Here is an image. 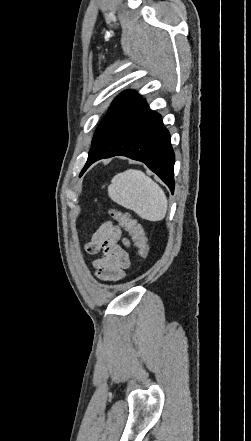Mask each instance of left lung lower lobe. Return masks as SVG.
<instances>
[{
	"mask_svg": "<svg viewBox=\"0 0 251 441\" xmlns=\"http://www.w3.org/2000/svg\"><path fill=\"white\" fill-rule=\"evenodd\" d=\"M141 161L174 191L175 155L161 116L139 99L122 116L105 117L92 141L82 173L95 161L113 156Z\"/></svg>",
	"mask_w": 251,
	"mask_h": 441,
	"instance_id": "1",
	"label": "left lung lower lobe"
}]
</instances>
